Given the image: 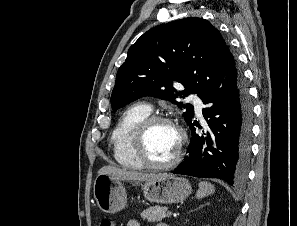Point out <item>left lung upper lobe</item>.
<instances>
[{"label": "left lung upper lobe", "mask_w": 297, "mask_h": 226, "mask_svg": "<svg viewBox=\"0 0 297 226\" xmlns=\"http://www.w3.org/2000/svg\"><path fill=\"white\" fill-rule=\"evenodd\" d=\"M240 77L219 31L204 19L185 18L150 29L130 47L117 72L111 105L116 111L140 97L153 96L185 108L188 123L194 108L177 98L199 96L212 86L232 87Z\"/></svg>", "instance_id": "5c2ea615"}]
</instances>
